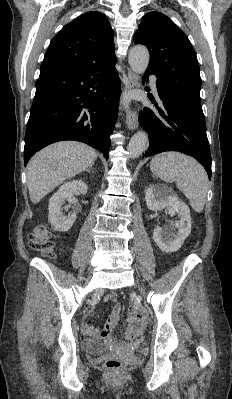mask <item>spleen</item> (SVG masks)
<instances>
[{
	"label": "spleen",
	"instance_id": "1",
	"mask_svg": "<svg viewBox=\"0 0 232 399\" xmlns=\"http://www.w3.org/2000/svg\"><path fill=\"white\" fill-rule=\"evenodd\" d=\"M151 172L167 184L177 182L195 211H202L208 192V176L201 164L179 152H163L150 162Z\"/></svg>",
	"mask_w": 232,
	"mask_h": 399
}]
</instances>
